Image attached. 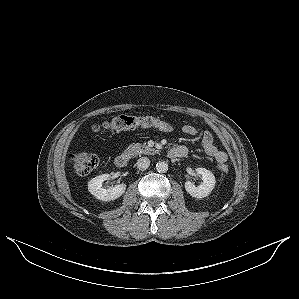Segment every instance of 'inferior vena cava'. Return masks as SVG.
Masks as SVG:
<instances>
[{
    "mask_svg": "<svg viewBox=\"0 0 299 299\" xmlns=\"http://www.w3.org/2000/svg\"><path fill=\"white\" fill-rule=\"evenodd\" d=\"M136 166L139 170H146L150 166V160L147 157H141L137 160Z\"/></svg>",
    "mask_w": 299,
    "mask_h": 299,
    "instance_id": "inferior-vena-cava-1",
    "label": "inferior vena cava"
}]
</instances>
